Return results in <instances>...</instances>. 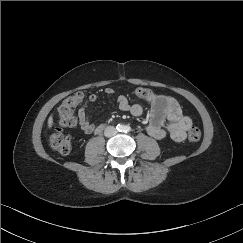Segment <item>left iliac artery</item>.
I'll return each instance as SVG.
<instances>
[{
  "mask_svg": "<svg viewBox=\"0 0 243 243\" xmlns=\"http://www.w3.org/2000/svg\"><path fill=\"white\" fill-rule=\"evenodd\" d=\"M125 131H126V132L131 131V127H130V126H126V127H125Z\"/></svg>",
  "mask_w": 243,
  "mask_h": 243,
  "instance_id": "left-iliac-artery-1",
  "label": "left iliac artery"
}]
</instances>
